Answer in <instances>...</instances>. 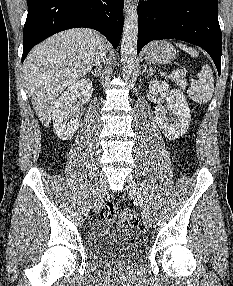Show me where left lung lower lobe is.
<instances>
[{"label": "left lung lower lobe", "instance_id": "0a47b994", "mask_svg": "<svg viewBox=\"0 0 233 286\" xmlns=\"http://www.w3.org/2000/svg\"><path fill=\"white\" fill-rule=\"evenodd\" d=\"M137 52L152 40L178 39L203 48L221 73L217 0H149L138 7Z\"/></svg>", "mask_w": 233, "mask_h": 286}]
</instances>
